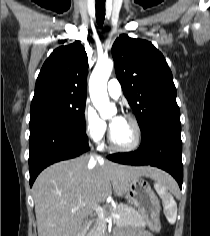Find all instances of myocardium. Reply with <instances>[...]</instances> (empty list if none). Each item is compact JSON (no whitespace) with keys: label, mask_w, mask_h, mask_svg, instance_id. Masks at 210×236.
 <instances>
[{"label":"myocardium","mask_w":210,"mask_h":236,"mask_svg":"<svg viewBox=\"0 0 210 236\" xmlns=\"http://www.w3.org/2000/svg\"><path fill=\"white\" fill-rule=\"evenodd\" d=\"M123 118L130 121L134 127L135 136H134L133 142L127 146H119L115 144L112 139V132L110 130L108 134V145L112 150L117 151V152H131L140 146L141 141H142V130H141L139 121L137 120L135 116L131 114H125Z\"/></svg>","instance_id":"obj_1"}]
</instances>
